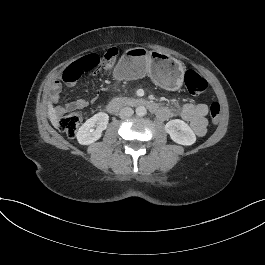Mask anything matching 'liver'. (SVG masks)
<instances>
[{
    "label": "liver",
    "instance_id": "6515ba94",
    "mask_svg": "<svg viewBox=\"0 0 265 265\" xmlns=\"http://www.w3.org/2000/svg\"><path fill=\"white\" fill-rule=\"evenodd\" d=\"M47 111L48 117L53 127L57 130H60L59 116L51 101L48 102Z\"/></svg>",
    "mask_w": 265,
    "mask_h": 265
}]
</instances>
